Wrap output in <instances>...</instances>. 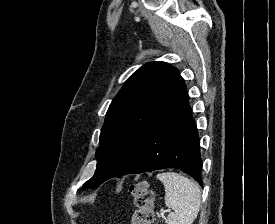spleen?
Returning a JSON list of instances; mask_svg holds the SVG:
<instances>
[{"mask_svg":"<svg viewBox=\"0 0 275 224\" xmlns=\"http://www.w3.org/2000/svg\"><path fill=\"white\" fill-rule=\"evenodd\" d=\"M165 187V205L172 209L167 224H192L201 205V192L196 183L175 172L157 174Z\"/></svg>","mask_w":275,"mask_h":224,"instance_id":"obj_1","label":"spleen"}]
</instances>
